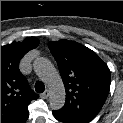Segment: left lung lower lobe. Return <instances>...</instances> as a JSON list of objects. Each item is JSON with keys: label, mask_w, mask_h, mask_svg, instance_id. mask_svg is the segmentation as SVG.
<instances>
[{"label": "left lung lower lobe", "mask_w": 123, "mask_h": 123, "mask_svg": "<svg viewBox=\"0 0 123 123\" xmlns=\"http://www.w3.org/2000/svg\"><path fill=\"white\" fill-rule=\"evenodd\" d=\"M53 115H54V117H55L58 121H60V122H63V123H74L73 121L68 120L67 118H65V117H63V116H61V115H59V114L56 113L55 111H53Z\"/></svg>", "instance_id": "1"}]
</instances>
